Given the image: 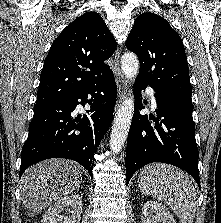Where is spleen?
<instances>
[{
	"label": "spleen",
	"instance_id": "obj_1",
	"mask_svg": "<svg viewBox=\"0 0 221 223\" xmlns=\"http://www.w3.org/2000/svg\"><path fill=\"white\" fill-rule=\"evenodd\" d=\"M137 182L143 193L162 200L182 223H193L195 188L183 171L167 164H151L144 167Z\"/></svg>",
	"mask_w": 221,
	"mask_h": 223
}]
</instances>
